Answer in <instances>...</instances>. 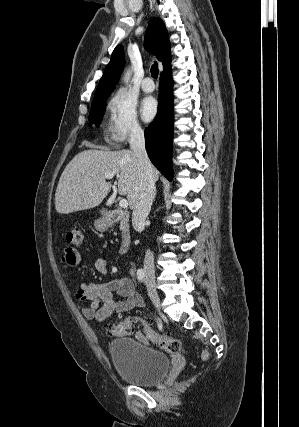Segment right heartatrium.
<instances>
[{
    "instance_id": "d8ad5b80",
    "label": "right heart atrium",
    "mask_w": 299,
    "mask_h": 427,
    "mask_svg": "<svg viewBox=\"0 0 299 427\" xmlns=\"http://www.w3.org/2000/svg\"><path fill=\"white\" fill-rule=\"evenodd\" d=\"M106 111V134L111 143L121 145L129 138L142 133L135 103L125 92H114L107 101Z\"/></svg>"
}]
</instances>
